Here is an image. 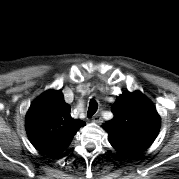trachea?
I'll use <instances>...</instances> for the list:
<instances>
[{
  "label": "trachea",
  "instance_id": "1",
  "mask_svg": "<svg viewBox=\"0 0 179 179\" xmlns=\"http://www.w3.org/2000/svg\"><path fill=\"white\" fill-rule=\"evenodd\" d=\"M98 109V104L95 99H91L89 102L87 116L90 118L92 115L96 113Z\"/></svg>",
  "mask_w": 179,
  "mask_h": 179
}]
</instances>
